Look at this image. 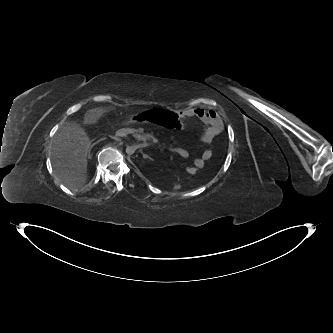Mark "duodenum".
<instances>
[{"label": "duodenum", "mask_w": 333, "mask_h": 333, "mask_svg": "<svg viewBox=\"0 0 333 333\" xmlns=\"http://www.w3.org/2000/svg\"><path fill=\"white\" fill-rule=\"evenodd\" d=\"M133 132V129L132 128H124V129H120L116 132V135L117 136H121V135H124L126 133H132Z\"/></svg>", "instance_id": "duodenum-1"}]
</instances>
